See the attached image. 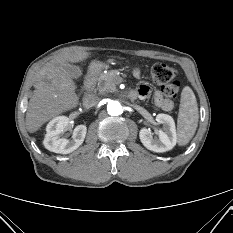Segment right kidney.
I'll return each mask as SVG.
<instances>
[{"label": "right kidney", "mask_w": 233, "mask_h": 233, "mask_svg": "<svg viewBox=\"0 0 233 233\" xmlns=\"http://www.w3.org/2000/svg\"><path fill=\"white\" fill-rule=\"evenodd\" d=\"M70 128L69 118L58 116L52 119L46 127L43 144L46 149L55 153L69 154L76 150L84 141L87 127L78 125L72 133V140L60 138V134Z\"/></svg>", "instance_id": "right-kidney-1"}]
</instances>
